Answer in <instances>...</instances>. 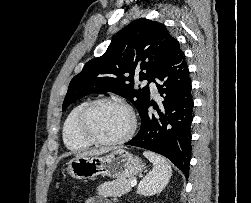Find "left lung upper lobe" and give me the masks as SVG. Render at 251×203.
<instances>
[{
	"label": "left lung upper lobe",
	"mask_w": 251,
	"mask_h": 203,
	"mask_svg": "<svg viewBox=\"0 0 251 203\" xmlns=\"http://www.w3.org/2000/svg\"><path fill=\"white\" fill-rule=\"evenodd\" d=\"M175 40L162 23L134 20L113 37L101 57L87 62L71 80L63 111L84 96L113 92L132 102L140 114L150 100V91L148 85L135 90V78L154 81Z\"/></svg>",
	"instance_id": "obj_1"
}]
</instances>
